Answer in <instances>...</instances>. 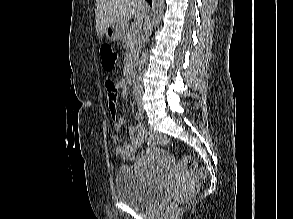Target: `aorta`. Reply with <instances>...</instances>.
<instances>
[{
  "mask_svg": "<svg viewBox=\"0 0 293 219\" xmlns=\"http://www.w3.org/2000/svg\"><path fill=\"white\" fill-rule=\"evenodd\" d=\"M165 9V0H152V17H151V24L152 27H156L163 16ZM147 50L142 52L141 59L139 61L138 71L140 72L142 66L146 63L147 60Z\"/></svg>",
  "mask_w": 293,
  "mask_h": 219,
  "instance_id": "762f6f07",
  "label": "aorta"
}]
</instances>
